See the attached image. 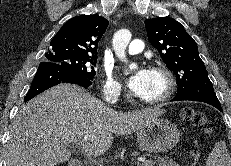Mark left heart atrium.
I'll return each mask as SVG.
<instances>
[{"label": "left heart atrium", "mask_w": 231, "mask_h": 166, "mask_svg": "<svg viewBox=\"0 0 231 166\" xmlns=\"http://www.w3.org/2000/svg\"><path fill=\"white\" fill-rule=\"evenodd\" d=\"M150 72L149 69H139L128 78L127 85L133 94L137 96L144 94L149 84Z\"/></svg>", "instance_id": "39dd6f15"}]
</instances>
